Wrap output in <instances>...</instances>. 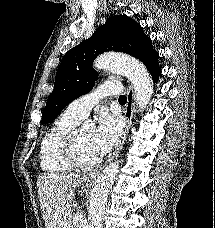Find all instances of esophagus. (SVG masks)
I'll list each match as a JSON object with an SVG mask.
<instances>
[{
    "instance_id": "1",
    "label": "esophagus",
    "mask_w": 215,
    "mask_h": 228,
    "mask_svg": "<svg viewBox=\"0 0 215 228\" xmlns=\"http://www.w3.org/2000/svg\"><path fill=\"white\" fill-rule=\"evenodd\" d=\"M134 111H135V93H134V89H133L132 85H128L127 86V103H126V108L124 111V115L127 119V126L123 132L122 138L120 139L116 150L110 156L108 161L113 160L118 155L119 151L122 149L124 142L126 140V137L129 133L132 123H133ZM99 173H100V170L94 171V172L90 173L89 176L96 178L99 175Z\"/></svg>"
}]
</instances>
